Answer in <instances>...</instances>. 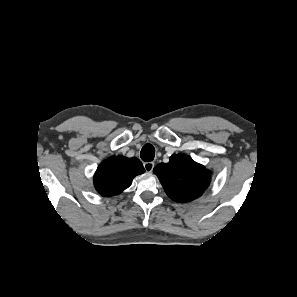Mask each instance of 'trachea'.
<instances>
[{
  "mask_svg": "<svg viewBox=\"0 0 297 297\" xmlns=\"http://www.w3.org/2000/svg\"><path fill=\"white\" fill-rule=\"evenodd\" d=\"M140 157L143 161L150 162L155 157V149L151 144H146L143 146L140 152Z\"/></svg>",
  "mask_w": 297,
  "mask_h": 297,
  "instance_id": "1",
  "label": "trachea"
}]
</instances>
